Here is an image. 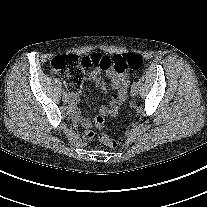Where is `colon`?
Listing matches in <instances>:
<instances>
[{
	"instance_id": "obj_1",
	"label": "colon",
	"mask_w": 207,
	"mask_h": 207,
	"mask_svg": "<svg viewBox=\"0 0 207 207\" xmlns=\"http://www.w3.org/2000/svg\"><path fill=\"white\" fill-rule=\"evenodd\" d=\"M142 65L143 59L136 54H116L109 56L95 53L84 57L60 55L51 61V67L62 77L70 93L80 90L85 70L88 68L114 69L117 72H122L126 70H139ZM94 124L99 129L103 128V117L97 116L94 119ZM94 135L95 133L91 129L83 132V137L87 140L92 139ZM99 140L111 148H117L123 142L122 138L113 139L106 134H100Z\"/></svg>"
}]
</instances>
